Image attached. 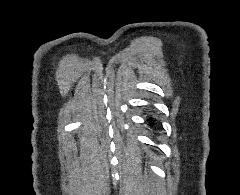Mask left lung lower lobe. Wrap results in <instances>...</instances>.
Instances as JSON below:
<instances>
[{
    "mask_svg": "<svg viewBox=\"0 0 240 195\" xmlns=\"http://www.w3.org/2000/svg\"><path fill=\"white\" fill-rule=\"evenodd\" d=\"M147 121L150 124V126L154 125V122H153L154 120L152 119V117L148 118Z\"/></svg>",
    "mask_w": 240,
    "mask_h": 195,
    "instance_id": "left-lung-lower-lobe-1",
    "label": "left lung lower lobe"
}]
</instances>
